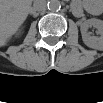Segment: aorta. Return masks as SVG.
Wrapping results in <instances>:
<instances>
[{"label": "aorta", "instance_id": "aorta-1", "mask_svg": "<svg viewBox=\"0 0 103 103\" xmlns=\"http://www.w3.org/2000/svg\"><path fill=\"white\" fill-rule=\"evenodd\" d=\"M47 6H48V9H49L50 11L55 12V11H59V10H60V8H61V3H60L59 0H50V1L48 2Z\"/></svg>", "mask_w": 103, "mask_h": 103}]
</instances>
